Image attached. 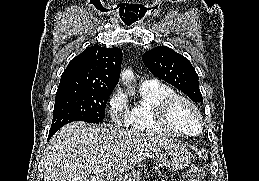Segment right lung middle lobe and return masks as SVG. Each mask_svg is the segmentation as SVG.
I'll use <instances>...</instances> for the list:
<instances>
[{"label": "right lung middle lobe", "instance_id": "obj_1", "mask_svg": "<svg viewBox=\"0 0 259 181\" xmlns=\"http://www.w3.org/2000/svg\"><path fill=\"white\" fill-rule=\"evenodd\" d=\"M110 94L90 89H58L49 136L72 121L102 122Z\"/></svg>", "mask_w": 259, "mask_h": 181}]
</instances>
